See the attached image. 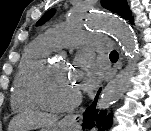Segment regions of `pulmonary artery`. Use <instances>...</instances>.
<instances>
[{"instance_id":"pulmonary-artery-1","label":"pulmonary artery","mask_w":151,"mask_h":131,"mask_svg":"<svg viewBox=\"0 0 151 131\" xmlns=\"http://www.w3.org/2000/svg\"><path fill=\"white\" fill-rule=\"evenodd\" d=\"M44 38L55 48L86 47L89 49H108V40L101 35L90 34L72 27H58L45 32Z\"/></svg>"}]
</instances>
